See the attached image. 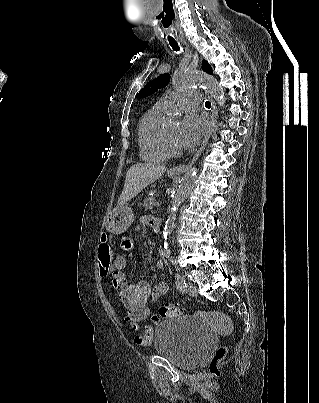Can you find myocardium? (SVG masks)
<instances>
[{"mask_svg": "<svg viewBox=\"0 0 319 403\" xmlns=\"http://www.w3.org/2000/svg\"><path fill=\"white\" fill-rule=\"evenodd\" d=\"M162 142H163L164 149H165L166 153L168 154V156L177 157L181 154L180 148L178 146L174 145L171 142V140L169 139L165 128H163V131H162Z\"/></svg>", "mask_w": 319, "mask_h": 403, "instance_id": "1", "label": "myocardium"}]
</instances>
